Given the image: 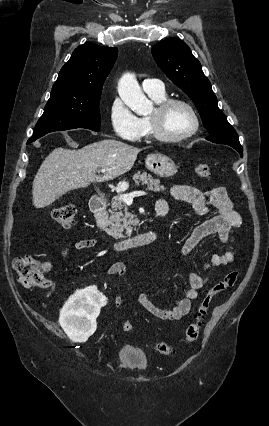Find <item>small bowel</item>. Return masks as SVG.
<instances>
[{"label": "small bowel", "mask_w": 269, "mask_h": 426, "mask_svg": "<svg viewBox=\"0 0 269 426\" xmlns=\"http://www.w3.org/2000/svg\"><path fill=\"white\" fill-rule=\"evenodd\" d=\"M169 192L172 198L191 204L198 215L206 216L211 209L216 210V215L208 217L194 228L183 245L182 255H188L204 238L216 234L222 241L224 248L221 253L211 258L206 264V269L211 271L232 263L236 257V251L226 249V246L230 241L231 230L241 226L242 218L234 209L226 190L223 187H215L207 191H201L192 186L174 185L170 187ZM160 207H167L164 200L160 199L156 202V210ZM96 244V239L86 238L73 241L72 247L76 250H86L94 248ZM62 256L64 258L68 256V248L63 249ZM42 268L44 273L52 270V257L42 262ZM107 274L125 278L126 266L122 262H114L108 267ZM188 278L189 288L185 291L184 297L178 299L173 307L160 308L145 293L138 296V303L157 319L165 321L179 320L190 312L192 303L198 298L200 289L205 286L208 280L207 277L194 273H190ZM43 288L47 289L45 297L49 298L53 294L54 282L46 279ZM123 303L122 297L116 296L114 298L115 306L120 307Z\"/></svg>", "instance_id": "obj_1"}]
</instances>
